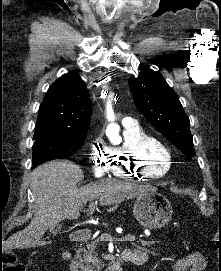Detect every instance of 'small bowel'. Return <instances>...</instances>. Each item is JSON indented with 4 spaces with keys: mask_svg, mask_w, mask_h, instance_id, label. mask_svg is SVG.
<instances>
[{
    "mask_svg": "<svg viewBox=\"0 0 221 271\" xmlns=\"http://www.w3.org/2000/svg\"><path fill=\"white\" fill-rule=\"evenodd\" d=\"M130 257L144 255L147 258V253L141 249L126 250ZM206 261L204 257L198 253H190L184 257H177L173 252L170 256V267L172 271H204Z\"/></svg>",
    "mask_w": 221,
    "mask_h": 271,
    "instance_id": "small-bowel-1",
    "label": "small bowel"
}]
</instances>
